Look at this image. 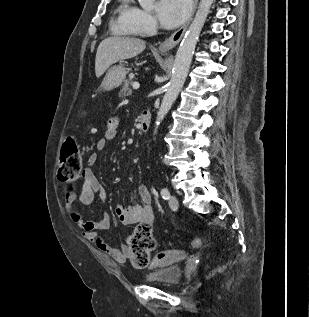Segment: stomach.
Instances as JSON below:
<instances>
[{
  "mask_svg": "<svg viewBox=\"0 0 309 317\" xmlns=\"http://www.w3.org/2000/svg\"><path fill=\"white\" fill-rule=\"evenodd\" d=\"M126 74V69L121 65L111 67L107 71L106 76L101 84L102 90L111 91L119 87L124 82Z\"/></svg>",
  "mask_w": 309,
  "mask_h": 317,
  "instance_id": "obj_1",
  "label": "stomach"
}]
</instances>
